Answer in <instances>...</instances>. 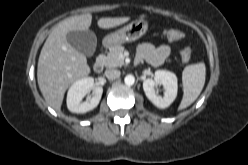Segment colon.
I'll return each mask as SVG.
<instances>
[{"label": "colon", "instance_id": "obj_1", "mask_svg": "<svg viewBox=\"0 0 248 165\" xmlns=\"http://www.w3.org/2000/svg\"><path fill=\"white\" fill-rule=\"evenodd\" d=\"M164 36L166 37V39L170 40V41H179L183 38L184 34L183 32H181L180 30L177 29H167L164 32ZM181 59L183 62L187 63L190 61L191 57H192V50L190 47H184L181 52Z\"/></svg>", "mask_w": 248, "mask_h": 165}]
</instances>
